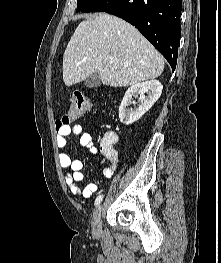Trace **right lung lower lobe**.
<instances>
[{
    "mask_svg": "<svg viewBox=\"0 0 221 263\" xmlns=\"http://www.w3.org/2000/svg\"><path fill=\"white\" fill-rule=\"evenodd\" d=\"M181 0H104L92 12H107L134 25L175 70L181 37Z\"/></svg>",
    "mask_w": 221,
    "mask_h": 263,
    "instance_id": "obj_1",
    "label": "right lung lower lobe"
}]
</instances>
